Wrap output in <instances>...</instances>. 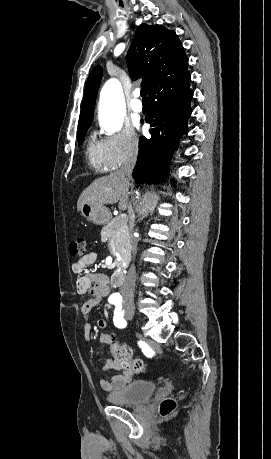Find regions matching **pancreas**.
I'll use <instances>...</instances> for the list:
<instances>
[{
    "mask_svg": "<svg viewBox=\"0 0 271 459\" xmlns=\"http://www.w3.org/2000/svg\"><path fill=\"white\" fill-rule=\"evenodd\" d=\"M102 239H108L110 245L119 247L118 253L124 256L127 250L124 248L128 243L129 229L127 226V218L118 216L114 218L108 226H104L101 231Z\"/></svg>",
    "mask_w": 271,
    "mask_h": 459,
    "instance_id": "pancreas-1",
    "label": "pancreas"
}]
</instances>
